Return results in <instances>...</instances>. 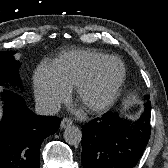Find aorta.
<instances>
[{
  "label": "aorta",
  "mask_w": 168,
  "mask_h": 168,
  "mask_svg": "<svg viewBox=\"0 0 168 168\" xmlns=\"http://www.w3.org/2000/svg\"><path fill=\"white\" fill-rule=\"evenodd\" d=\"M64 139L70 145H77L82 140V132L77 126H68L64 131Z\"/></svg>",
  "instance_id": "762f6f07"
}]
</instances>
